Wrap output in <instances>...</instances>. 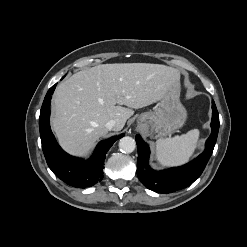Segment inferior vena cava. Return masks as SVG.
<instances>
[{
	"label": "inferior vena cava",
	"instance_id": "602c4592",
	"mask_svg": "<svg viewBox=\"0 0 247 247\" xmlns=\"http://www.w3.org/2000/svg\"><path fill=\"white\" fill-rule=\"evenodd\" d=\"M105 127L108 129V130H115L116 127H117V122L116 120H109L106 124H105Z\"/></svg>",
	"mask_w": 247,
	"mask_h": 247
}]
</instances>
